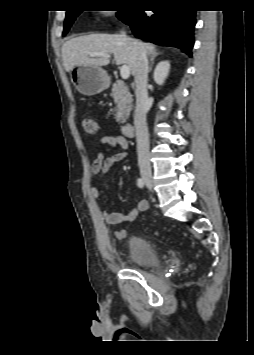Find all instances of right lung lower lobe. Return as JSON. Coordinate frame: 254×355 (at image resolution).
Masks as SVG:
<instances>
[{
  "instance_id": "right-lung-lower-lobe-1",
  "label": "right lung lower lobe",
  "mask_w": 254,
  "mask_h": 355,
  "mask_svg": "<svg viewBox=\"0 0 254 355\" xmlns=\"http://www.w3.org/2000/svg\"><path fill=\"white\" fill-rule=\"evenodd\" d=\"M159 5L161 7L154 10L153 14L133 8L121 20L131 27L138 38L154 44L175 46L191 56L196 11L174 1Z\"/></svg>"
}]
</instances>
